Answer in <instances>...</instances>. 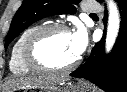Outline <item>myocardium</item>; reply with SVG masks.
Listing matches in <instances>:
<instances>
[{
	"mask_svg": "<svg viewBox=\"0 0 127 92\" xmlns=\"http://www.w3.org/2000/svg\"><path fill=\"white\" fill-rule=\"evenodd\" d=\"M54 32L71 33V29L67 25L61 23L48 24L39 27L27 38L23 48V58L25 63L33 71L63 74L72 71L80 63L79 56L74 61L63 67H51L40 60L37 54L38 46L43 39Z\"/></svg>",
	"mask_w": 127,
	"mask_h": 92,
	"instance_id": "1",
	"label": "myocardium"
}]
</instances>
